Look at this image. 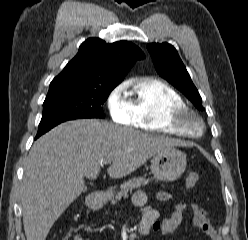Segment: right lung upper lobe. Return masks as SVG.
I'll use <instances>...</instances> for the list:
<instances>
[{"instance_id":"cb5924a9","label":"right lung upper lobe","mask_w":248,"mask_h":240,"mask_svg":"<svg viewBox=\"0 0 248 240\" xmlns=\"http://www.w3.org/2000/svg\"><path fill=\"white\" fill-rule=\"evenodd\" d=\"M143 52L129 41L112 44L99 38L84 41L77 55L50 83L49 91L64 88H115Z\"/></svg>"}]
</instances>
